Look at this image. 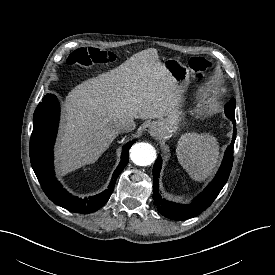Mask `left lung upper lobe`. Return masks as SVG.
Wrapping results in <instances>:
<instances>
[{"instance_id": "obj_1", "label": "left lung upper lobe", "mask_w": 275, "mask_h": 275, "mask_svg": "<svg viewBox=\"0 0 275 275\" xmlns=\"http://www.w3.org/2000/svg\"><path fill=\"white\" fill-rule=\"evenodd\" d=\"M235 99H231L226 105H225V114L228 118L231 120H235Z\"/></svg>"}]
</instances>
